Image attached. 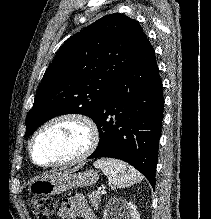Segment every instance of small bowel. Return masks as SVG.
I'll use <instances>...</instances> for the list:
<instances>
[{"instance_id":"c3829d8e","label":"small bowel","mask_w":211,"mask_h":219,"mask_svg":"<svg viewBox=\"0 0 211 219\" xmlns=\"http://www.w3.org/2000/svg\"><path fill=\"white\" fill-rule=\"evenodd\" d=\"M98 219L81 195L64 200L55 219Z\"/></svg>"}]
</instances>
